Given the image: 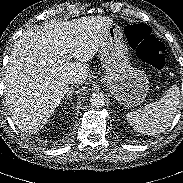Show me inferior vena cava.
<instances>
[{
    "label": "inferior vena cava",
    "mask_w": 183,
    "mask_h": 183,
    "mask_svg": "<svg viewBox=\"0 0 183 183\" xmlns=\"http://www.w3.org/2000/svg\"><path fill=\"white\" fill-rule=\"evenodd\" d=\"M67 82L69 84H82V79H81L80 75L73 73L68 76Z\"/></svg>",
    "instance_id": "1"
}]
</instances>
